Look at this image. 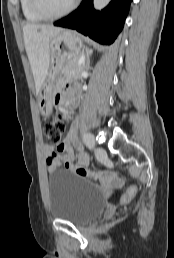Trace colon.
I'll return each instance as SVG.
<instances>
[{
	"instance_id": "5ec220e1",
	"label": "colon",
	"mask_w": 174,
	"mask_h": 258,
	"mask_svg": "<svg viewBox=\"0 0 174 258\" xmlns=\"http://www.w3.org/2000/svg\"><path fill=\"white\" fill-rule=\"evenodd\" d=\"M65 129V122L64 118L60 115H56L52 117L50 120H47L44 123V134L51 144H57L59 143L62 133ZM137 186L132 185L130 186L125 193L121 196V201L126 203L131 201L137 194Z\"/></svg>"
}]
</instances>
